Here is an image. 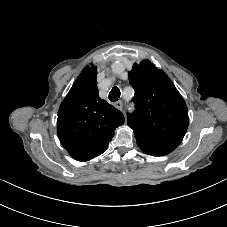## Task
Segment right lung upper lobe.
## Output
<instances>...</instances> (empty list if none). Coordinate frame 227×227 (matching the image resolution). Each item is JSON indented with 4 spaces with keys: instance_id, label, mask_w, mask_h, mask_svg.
I'll use <instances>...</instances> for the list:
<instances>
[{
    "instance_id": "cb5924a9",
    "label": "right lung upper lobe",
    "mask_w": 227,
    "mask_h": 227,
    "mask_svg": "<svg viewBox=\"0 0 227 227\" xmlns=\"http://www.w3.org/2000/svg\"><path fill=\"white\" fill-rule=\"evenodd\" d=\"M96 76V66L84 68L58 111L59 140L80 162L101 155L114 136V130L124 123L123 114L99 98Z\"/></svg>"
}]
</instances>
